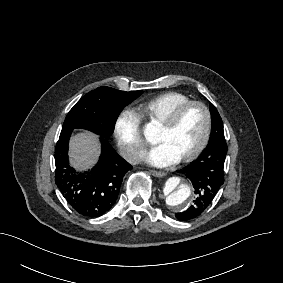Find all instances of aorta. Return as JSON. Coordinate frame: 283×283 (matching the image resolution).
Masks as SVG:
<instances>
[{
    "label": "aorta",
    "instance_id": "762f6f07",
    "mask_svg": "<svg viewBox=\"0 0 283 283\" xmlns=\"http://www.w3.org/2000/svg\"><path fill=\"white\" fill-rule=\"evenodd\" d=\"M144 133L147 137H152L155 135L156 129L152 124H148ZM161 197L168 207L183 211L187 209L193 199L191 184L184 177H170L163 185Z\"/></svg>",
    "mask_w": 283,
    "mask_h": 283
}]
</instances>
